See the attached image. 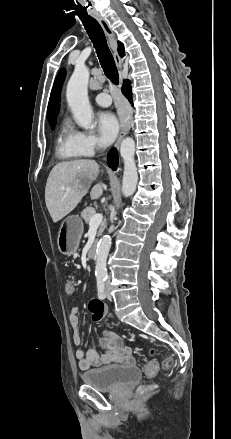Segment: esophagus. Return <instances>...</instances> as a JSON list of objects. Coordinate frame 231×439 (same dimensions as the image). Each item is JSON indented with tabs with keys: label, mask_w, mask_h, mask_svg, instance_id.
<instances>
[{
	"label": "esophagus",
	"mask_w": 231,
	"mask_h": 439,
	"mask_svg": "<svg viewBox=\"0 0 231 439\" xmlns=\"http://www.w3.org/2000/svg\"><path fill=\"white\" fill-rule=\"evenodd\" d=\"M94 17L97 19V21L100 23L102 29L104 30L105 34L107 35L108 38H114V33L112 31V29L110 28L109 24L107 23V21L99 14H94ZM114 55V59L116 62V65L119 69L122 68V59L119 56L117 50L115 49L113 52ZM130 130V122L128 120H126L125 122H123L122 126H121V131L119 134V137L115 143V147L118 148L121 141L123 140V138L128 134Z\"/></svg>",
	"instance_id": "esophagus-1"
}]
</instances>
